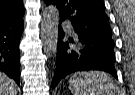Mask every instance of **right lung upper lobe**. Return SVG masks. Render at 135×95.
I'll list each match as a JSON object with an SVG mask.
<instances>
[{
	"instance_id": "cb5924a9",
	"label": "right lung upper lobe",
	"mask_w": 135,
	"mask_h": 95,
	"mask_svg": "<svg viewBox=\"0 0 135 95\" xmlns=\"http://www.w3.org/2000/svg\"><path fill=\"white\" fill-rule=\"evenodd\" d=\"M23 15L22 0H0V20H16Z\"/></svg>"
}]
</instances>
